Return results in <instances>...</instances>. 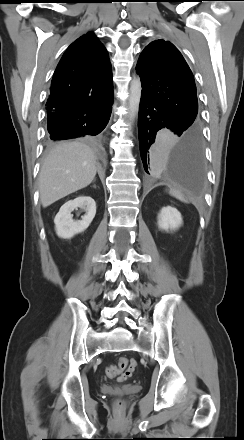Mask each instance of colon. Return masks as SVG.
Here are the masks:
<instances>
[{"mask_svg":"<svg viewBox=\"0 0 244 440\" xmlns=\"http://www.w3.org/2000/svg\"><path fill=\"white\" fill-rule=\"evenodd\" d=\"M137 367V362L135 359H127V358H120L117 364L110 365L106 369V374L109 378H115L119 381H125L127 378H129L134 370ZM117 406H122V401L118 400L116 402Z\"/></svg>","mask_w":244,"mask_h":440,"instance_id":"1","label":"colon"}]
</instances>
